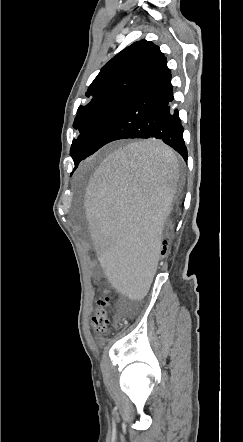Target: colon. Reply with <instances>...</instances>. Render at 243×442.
<instances>
[{
  "label": "colon",
  "instance_id": "1",
  "mask_svg": "<svg viewBox=\"0 0 243 442\" xmlns=\"http://www.w3.org/2000/svg\"><path fill=\"white\" fill-rule=\"evenodd\" d=\"M162 248L157 257L158 262H165L168 253L170 251V239L167 236L161 238ZM111 283V280H108ZM103 299H96L95 306L98 308L96 314L91 319V324L94 332L99 338H104L110 322L108 308L111 304V298L113 297V292L111 290H104L102 292Z\"/></svg>",
  "mask_w": 243,
  "mask_h": 442
}]
</instances>
